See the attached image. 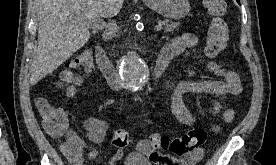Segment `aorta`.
<instances>
[{"mask_svg":"<svg viewBox=\"0 0 276 165\" xmlns=\"http://www.w3.org/2000/svg\"><path fill=\"white\" fill-rule=\"evenodd\" d=\"M146 63L135 54H128L120 65V76L123 83L132 89L141 88L147 77Z\"/></svg>","mask_w":276,"mask_h":165,"instance_id":"1","label":"aorta"}]
</instances>
